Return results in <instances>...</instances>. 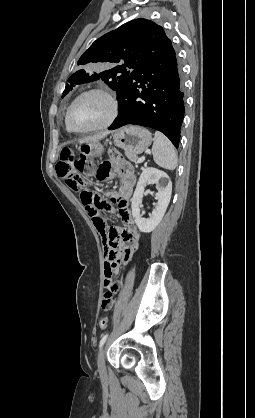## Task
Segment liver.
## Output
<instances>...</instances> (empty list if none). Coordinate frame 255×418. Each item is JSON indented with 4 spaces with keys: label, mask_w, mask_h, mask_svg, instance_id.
<instances>
[{
    "label": "liver",
    "mask_w": 255,
    "mask_h": 418,
    "mask_svg": "<svg viewBox=\"0 0 255 418\" xmlns=\"http://www.w3.org/2000/svg\"><path fill=\"white\" fill-rule=\"evenodd\" d=\"M107 135H108V132H104V133L96 134L93 136L85 137L81 139L79 143L83 144V143H90V142H99V140L103 139Z\"/></svg>",
    "instance_id": "liver-1"
}]
</instances>
